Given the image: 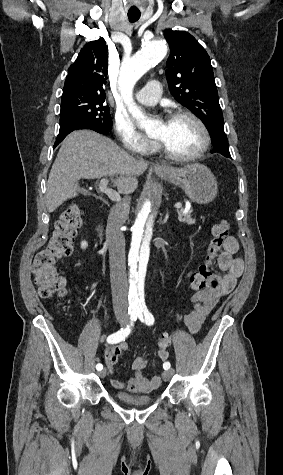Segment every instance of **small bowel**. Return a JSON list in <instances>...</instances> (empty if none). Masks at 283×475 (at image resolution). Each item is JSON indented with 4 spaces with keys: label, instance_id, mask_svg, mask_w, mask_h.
<instances>
[{
    "label": "small bowel",
    "instance_id": "1",
    "mask_svg": "<svg viewBox=\"0 0 283 475\" xmlns=\"http://www.w3.org/2000/svg\"><path fill=\"white\" fill-rule=\"evenodd\" d=\"M225 242L227 245L226 251H222L219 254L218 260L219 269L223 274L214 273L215 281L212 283L209 291H202L200 296L192 295L191 302L193 307L184 315V323L193 334L199 332L218 301L235 289L238 279L243 274L244 262L241 258L236 257L239 249L236 238L229 236ZM125 350V344L107 346L105 350V363L111 375L115 374V367L119 357ZM146 363L147 359L145 357L135 358L132 362V367L135 371L134 376L126 381L112 378V385L118 389L128 388L131 390L156 388L161 382V377L159 375L152 376L151 378L144 377L142 369Z\"/></svg>",
    "mask_w": 283,
    "mask_h": 475
}]
</instances>
